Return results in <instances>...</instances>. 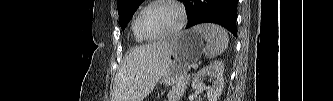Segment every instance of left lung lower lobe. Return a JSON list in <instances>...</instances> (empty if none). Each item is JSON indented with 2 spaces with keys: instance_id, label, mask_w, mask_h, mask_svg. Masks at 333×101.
<instances>
[{
  "instance_id": "obj_1",
  "label": "left lung lower lobe",
  "mask_w": 333,
  "mask_h": 101,
  "mask_svg": "<svg viewBox=\"0 0 333 101\" xmlns=\"http://www.w3.org/2000/svg\"><path fill=\"white\" fill-rule=\"evenodd\" d=\"M189 15L187 28L199 23H216L237 37L238 0H183Z\"/></svg>"
}]
</instances>
